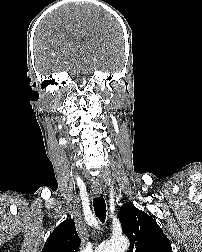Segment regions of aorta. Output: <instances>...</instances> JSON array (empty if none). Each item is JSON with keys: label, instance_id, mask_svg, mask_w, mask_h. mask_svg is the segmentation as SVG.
<instances>
[{"label": "aorta", "instance_id": "762f6f07", "mask_svg": "<svg viewBox=\"0 0 202 252\" xmlns=\"http://www.w3.org/2000/svg\"><path fill=\"white\" fill-rule=\"evenodd\" d=\"M129 247V241L125 237L110 240L109 242L100 245L97 252H125Z\"/></svg>", "mask_w": 202, "mask_h": 252}]
</instances>
